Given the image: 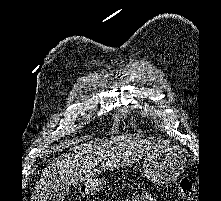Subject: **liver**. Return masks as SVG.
<instances>
[{
    "mask_svg": "<svg viewBox=\"0 0 221 201\" xmlns=\"http://www.w3.org/2000/svg\"><path fill=\"white\" fill-rule=\"evenodd\" d=\"M163 148L158 144L127 136L95 139L75 146L47 165L34 191L33 201H47L51 192L58 187L91 180L101 170L131 165L143 156ZM99 161L101 170L96 168Z\"/></svg>",
    "mask_w": 221,
    "mask_h": 201,
    "instance_id": "6515ba94",
    "label": "liver"
}]
</instances>
